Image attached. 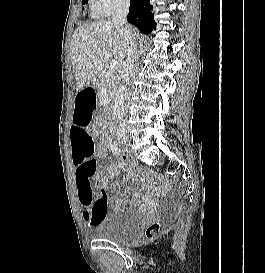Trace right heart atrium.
I'll list each match as a JSON object with an SVG mask.
<instances>
[{"label":"right heart atrium","mask_w":265,"mask_h":273,"mask_svg":"<svg viewBox=\"0 0 265 273\" xmlns=\"http://www.w3.org/2000/svg\"><path fill=\"white\" fill-rule=\"evenodd\" d=\"M130 0H90L93 12L96 15L107 16L118 9L129 5Z\"/></svg>","instance_id":"1"}]
</instances>
